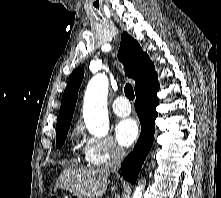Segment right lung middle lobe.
Wrapping results in <instances>:
<instances>
[{
    "mask_svg": "<svg viewBox=\"0 0 221 198\" xmlns=\"http://www.w3.org/2000/svg\"><path fill=\"white\" fill-rule=\"evenodd\" d=\"M69 127L63 128L59 131H56L57 133V137H56V148H61L62 145L65 142V139L67 137V133H68Z\"/></svg>",
    "mask_w": 221,
    "mask_h": 198,
    "instance_id": "dd1d6c3e",
    "label": "right lung middle lobe"
}]
</instances>
